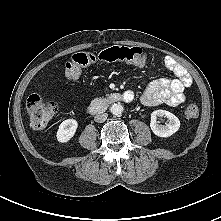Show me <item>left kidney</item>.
<instances>
[{
  "mask_svg": "<svg viewBox=\"0 0 221 221\" xmlns=\"http://www.w3.org/2000/svg\"><path fill=\"white\" fill-rule=\"evenodd\" d=\"M158 117H166L168 123L166 125H159L157 122ZM150 127L152 132L158 137H170L180 128L179 119L171 112L166 110H155L151 113Z\"/></svg>",
  "mask_w": 221,
  "mask_h": 221,
  "instance_id": "obj_1",
  "label": "left kidney"
}]
</instances>
